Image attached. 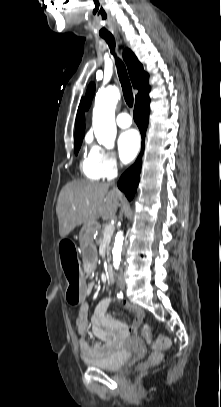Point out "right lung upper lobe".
I'll return each mask as SVG.
<instances>
[{
	"mask_svg": "<svg viewBox=\"0 0 221 407\" xmlns=\"http://www.w3.org/2000/svg\"><path fill=\"white\" fill-rule=\"evenodd\" d=\"M123 58L126 62L132 85L139 90L135 98V104H138L149 97L150 86L148 85V74L144 72L142 64L130 49L126 48L124 50ZM84 121L83 100H81L75 123L74 143L82 142L85 129Z\"/></svg>",
	"mask_w": 221,
	"mask_h": 407,
	"instance_id": "right-lung-upper-lobe-1",
	"label": "right lung upper lobe"
}]
</instances>
